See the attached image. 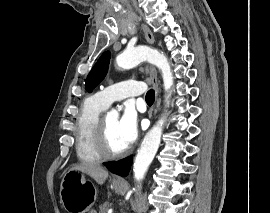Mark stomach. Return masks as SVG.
Masks as SVG:
<instances>
[{
  "label": "stomach",
  "instance_id": "stomach-1",
  "mask_svg": "<svg viewBox=\"0 0 270 213\" xmlns=\"http://www.w3.org/2000/svg\"><path fill=\"white\" fill-rule=\"evenodd\" d=\"M118 194L126 191L125 184L112 183ZM60 200L68 213H86L96 200V191L87 180L85 174L69 170L64 173L60 184Z\"/></svg>",
  "mask_w": 270,
  "mask_h": 213
}]
</instances>
